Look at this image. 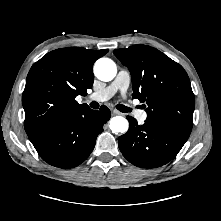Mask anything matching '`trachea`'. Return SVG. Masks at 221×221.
<instances>
[{
    "label": "trachea",
    "mask_w": 221,
    "mask_h": 221,
    "mask_svg": "<svg viewBox=\"0 0 221 221\" xmlns=\"http://www.w3.org/2000/svg\"><path fill=\"white\" fill-rule=\"evenodd\" d=\"M93 103H96V102H93ZM96 104H97V103H96ZM116 108H117L119 111L123 112V113H128V112L131 111V108L126 107V106L121 105V104H117V105H116Z\"/></svg>",
    "instance_id": "3493384b"
}]
</instances>
